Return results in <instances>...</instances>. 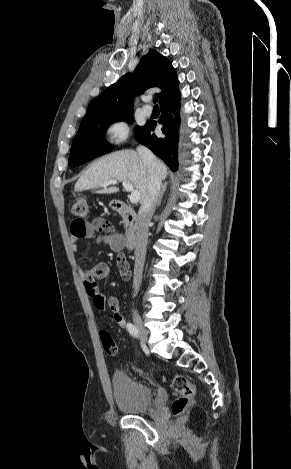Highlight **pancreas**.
Instances as JSON below:
<instances>
[{
  "label": "pancreas",
  "mask_w": 291,
  "mask_h": 469,
  "mask_svg": "<svg viewBox=\"0 0 291 469\" xmlns=\"http://www.w3.org/2000/svg\"><path fill=\"white\" fill-rule=\"evenodd\" d=\"M123 224H124V227H125V229H126V233H128L127 228H128V226H129V223H128L126 217H123Z\"/></svg>",
  "instance_id": "cf45deb5"
}]
</instances>
